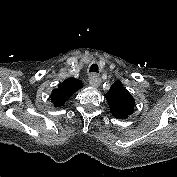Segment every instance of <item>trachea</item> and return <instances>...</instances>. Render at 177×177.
Returning <instances> with one entry per match:
<instances>
[{"label":"trachea","mask_w":177,"mask_h":177,"mask_svg":"<svg viewBox=\"0 0 177 177\" xmlns=\"http://www.w3.org/2000/svg\"><path fill=\"white\" fill-rule=\"evenodd\" d=\"M98 69L97 64H92L90 67V72H96Z\"/></svg>","instance_id":"trachea-1"}]
</instances>
